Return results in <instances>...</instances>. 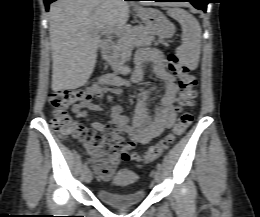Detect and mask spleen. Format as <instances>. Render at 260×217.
<instances>
[{
  "label": "spleen",
  "mask_w": 260,
  "mask_h": 217,
  "mask_svg": "<svg viewBox=\"0 0 260 217\" xmlns=\"http://www.w3.org/2000/svg\"><path fill=\"white\" fill-rule=\"evenodd\" d=\"M168 15L177 20L182 28V45L178 48V54L183 59H196L200 54L201 27L197 19L180 8L168 9Z\"/></svg>",
  "instance_id": "spleen-1"
}]
</instances>
